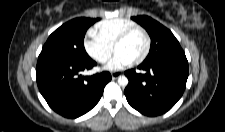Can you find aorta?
I'll list each match as a JSON object with an SVG mask.
<instances>
[{
  "mask_svg": "<svg viewBox=\"0 0 225 132\" xmlns=\"http://www.w3.org/2000/svg\"><path fill=\"white\" fill-rule=\"evenodd\" d=\"M118 84L122 87H126L128 85V79L126 76H119L118 78Z\"/></svg>",
  "mask_w": 225,
  "mask_h": 132,
  "instance_id": "762f6f07",
  "label": "aorta"
}]
</instances>
